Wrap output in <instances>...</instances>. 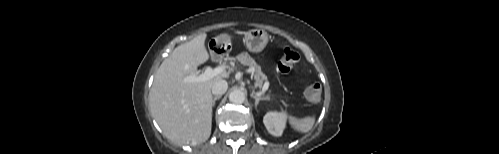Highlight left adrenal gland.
I'll list each match as a JSON object with an SVG mask.
<instances>
[{
  "mask_svg": "<svg viewBox=\"0 0 499 154\" xmlns=\"http://www.w3.org/2000/svg\"><path fill=\"white\" fill-rule=\"evenodd\" d=\"M250 96L255 99V107L258 106V104H259L260 101L268 99V97H262L260 95V93H257L255 91H252V93L250 94Z\"/></svg>",
  "mask_w": 499,
  "mask_h": 154,
  "instance_id": "left-adrenal-gland-1",
  "label": "left adrenal gland"
}]
</instances>
